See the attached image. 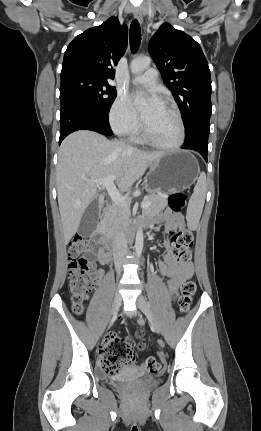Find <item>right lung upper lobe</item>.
Instances as JSON below:
<instances>
[{
  "instance_id": "1",
  "label": "right lung upper lobe",
  "mask_w": 261,
  "mask_h": 431,
  "mask_svg": "<svg viewBox=\"0 0 261 431\" xmlns=\"http://www.w3.org/2000/svg\"><path fill=\"white\" fill-rule=\"evenodd\" d=\"M127 42V26H121L116 17L86 30L68 45L61 77L83 73L108 82L115 76L113 67L125 53Z\"/></svg>"
}]
</instances>
